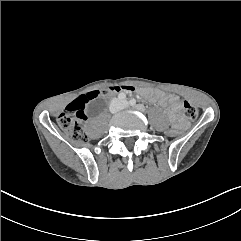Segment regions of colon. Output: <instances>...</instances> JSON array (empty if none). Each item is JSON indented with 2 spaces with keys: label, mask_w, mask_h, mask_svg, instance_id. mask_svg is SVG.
I'll use <instances>...</instances> for the list:
<instances>
[{
  "label": "colon",
  "mask_w": 241,
  "mask_h": 241,
  "mask_svg": "<svg viewBox=\"0 0 241 241\" xmlns=\"http://www.w3.org/2000/svg\"><path fill=\"white\" fill-rule=\"evenodd\" d=\"M133 91V87L123 86V87H110L104 90H95L87 93L86 95L80 97L79 99L71 102L67 105L66 111L62 112L57 117V123L60 129L69 134L72 138L77 141H86L87 135L85 132L86 115L84 113L85 104L91 100H95L102 96H105L112 92H118L121 89ZM182 104V114L188 120H194L198 116V110L187 100H181ZM167 135L169 137L180 138L182 136V131L177 128H169L167 130Z\"/></svg>",
  "instance_id": "colon-1"
}]
</instances>
